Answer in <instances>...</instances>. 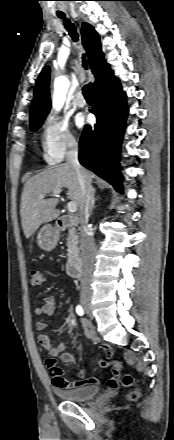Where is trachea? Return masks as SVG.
Wrapping results in <instances>:
<instances>
[{
  "mask_svg": "<svg viewBox=\"0 0 174 440\" xmlns=\"http://www.w3.org/2000/svg\"><path fill=\"white\" fill-rule=\"evenodd\" d=\"M59 17L60 18H64V16H59ZM65 26H66L67 30L69 31V34L72 37V39L74 41H77L78 40V34L76 32V28H75V26L72 23H70L69 19H67L65 21ZM83 66L85 68L87 67L85 56H83ZM83 95H84L85 98H93L94 95H93V90H92V84L91 83H88V84H86L83 87Z\"/></svg>",
  "mask_w": 174,
  "mask_h": 440,
  "instance_id": "trachea-1",
  "label": "trachea"
}]
</instances>
